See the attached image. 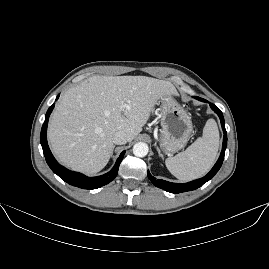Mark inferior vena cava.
Returning a JSON list of instances; mask_svg holds the SVG:
<instances>
[{
    "mask_svg": "<svg viewBox=\"0 0 269 269\" xmlns=\"http://www.w3.org/2000/svg\"><path fill=\"white\" fill-rule=\"evenodd\" d=\"M128 141V135L122 130L115 131L112 135V142L117 145L126 144Z\"/></svg>",
    "mask_w": 269,
    "mask_h": 269,
    "instance_id": "1",
    "label": "inferior vena cava"
}]
</instances>
